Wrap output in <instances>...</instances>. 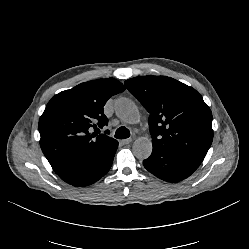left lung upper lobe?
Segmentation results:
<instances>
[{"label": "left lung upper lobe", "instance_id": "5c2ea615", "mask_svg": "<svg viewBox=\"0 0 249 249\" xmlns=\"http://www.w3.org/2000/svg\"><path fill=\"white\" fill-rule=\"evenodd\" d=\"M125 86L150 113L154 145L204 159L213 140L212 113L195 89L152 75L128 79Z\"/></svg>", "mask_w": 249, "mask_h": 249}]
</instances>
